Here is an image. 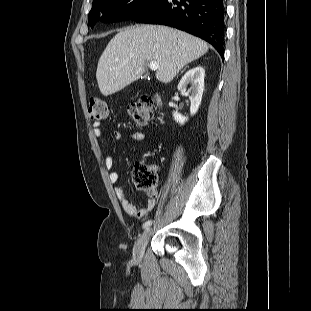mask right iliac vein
<instances>
[{"label": "right iliac vein", "instance_id": "obj_1", "mask_svg": "<svg viewBox=\"0 0 311 311\" xmlns=\"http://www.w3.org/2000/svg\"><path fill=\"white\" fill-rule=\"evenodd\" d=\"M151 233V229L147 228L139 239L136 241L134 248H133V258L136 262H140L142 260L145 246L149 240Z\"/></svg>", "mask_w": 311, "mask_h": 311}]
</instances>
